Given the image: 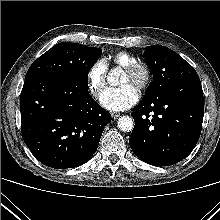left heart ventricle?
Instances as JSON below:
<instances>
[{"instance_id":"b2bd125f","label":"left heart ventricle","mask_w":220,"mask_h":220,"mask_svg":"<svg viewBox=\"0 0 220 220\" xmlns=\"http://www.w3.org/2000/svg\"><path fill=\"white\" fill-rule=\"evenodd\" d=\"M125 84H131L135 87L133 78L127 73H124L123 78L121 80V85H125Z\"/></svg>"}]
</instances>
